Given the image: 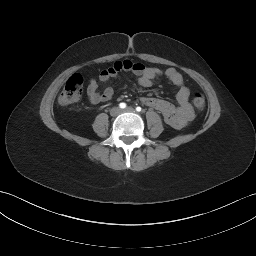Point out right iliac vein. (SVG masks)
<instances>
[{
  "mask_svg": "<svg viewBox=\"0 0 256 256\" xmlns=\"http://www.w3.org/2000/svg\"><path fill=\"white\" fill-rule=\"evenodd\" d=\"M121 113V110H120V108H118V107H115V108H113L112 110H111V114L113 115V116H117V115H119Z\"/></svg>",
  "mask_w": 256,
  "mask_h": 256,
  "instance_id": "63e3f726",
  "label": "right iliac vein"
}]
</instances>
